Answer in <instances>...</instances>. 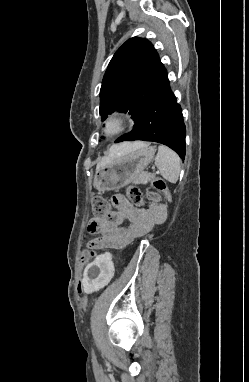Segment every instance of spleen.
I'll list each match as a JSON object with an SVG mask.
<instances>
[{
  "label": "spleen",
  "mask_w": 249,
  "mask_h": 382,
  "mask_svg": "<svg viewBox=\"0 0 249 382\" xmlns=\"http://www.w3.org/2000/svg\"><path fill=\"white\" fill-rule=\"evenodd\" d=\"M155 165L162 177L171 183H176L181 169L180 157L170 148L160 145L155 157Z\"/></svg>",
  "instance_id": "1"
}]
</instances>
